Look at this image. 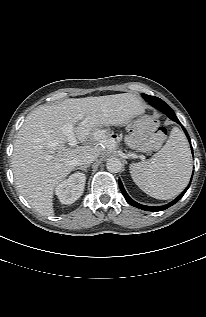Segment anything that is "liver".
Instances as JSON below:
<instances>
[{
    "instance_id": "obj_1",
    "label": "liver",
    "mask_w": 206,
    "mask_h": 317,
    "mask_svg": "<svg viewBox=\"0 0 206 317\" xmlns=\"http://www.w3.org/2000/svg\"><path fill=\"white\" fill-rule=\"evenodd\" d=\"M145 112L134 94L70 98L32 111L19 129L14 142L12 170L22 196L40 214H54L53 193L59 182L76 167L85 153L99 154L94 142H104L95 131L103 126H122ZM73 124L83 146L68 148L62 128Z\"/></svg>"
}]
</instances>
